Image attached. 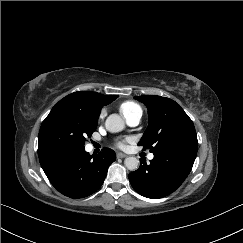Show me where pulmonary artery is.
<instances>
[{
  "label": "pulmonary artery",
  "instance_id": "pulmonary-artery-1",
  "mask_svg": "<svg viewBox=\"0 0 243 243\" xmlns=\"http://www.w3.org/2000/svg\"><path fill=\"white\" fill-rule=\"evenodd\" d=\"M141 118H142V111L140 110V111H137L134 114L128 116L126 118V122L129 126L135 127L140 123ZM153 158H154L153 154L148 155V159H153Z\"/></svg>",
  "mask_w": 243,
  "mask_h": 243
}]
</instances>
